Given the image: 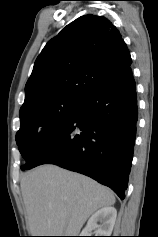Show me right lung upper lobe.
<instances>
[{
  "label": "right lung upper lobe",
  "instance_id": "right-lung-upper-lobe-1",
  "mask_svg": "<svg viewBox=\"0 0 158 237\" xmlns=\"http://www.w3.org/2000/svg\"><path fill=\"white\" fill-rule=\"evenodd\" d=\"M131 62L124 40L107 18L81 16L51 39L37 57L20 114L56 98L84 101Z\"/></svg>",
  "mask_w": 158,
  "mask_h": 237
}]
</instances>
